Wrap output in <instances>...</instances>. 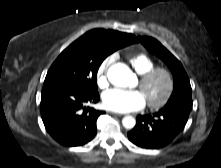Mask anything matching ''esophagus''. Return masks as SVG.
<instances>
[{
	"mask_svg": "<svg viewBox=\"0 0 221 168\" xmlns=\"http://www.w3.org/2000/svg\"><path fill=\"white\" fill-rule=\"evenodd\" d=\"M112 115H114V116H118V117H121L122 116V114H120V113H116V112H110Z\"/></svg>",
	"mask_w": 221,
	"mask_h": 168,
	"instance_id": "34e87169",
	"label": "esophagus"
}]
</instances>
